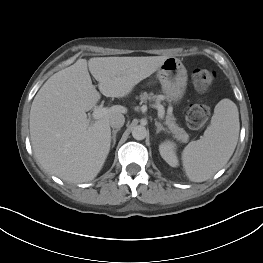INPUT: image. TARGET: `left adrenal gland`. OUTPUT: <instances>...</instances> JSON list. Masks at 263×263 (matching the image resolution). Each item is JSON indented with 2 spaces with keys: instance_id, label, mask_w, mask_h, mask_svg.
<instances>
[{
  "instance_id": "obj_1",
  "label": "left adrenal gland",
  "mask_w": 263,
  "mask_h": 263,
  "mask_svg": "<svg viewBox=\"0 0 263 263\" xmlns=\"http://www.w3.org/2000/svg\"><path fill=\"white\" fill-rule=\"evenodd\" d=\"M155 126L157 127L156 133H159L161 131L169 132L166 128L163 127V125L157 121H155Z\"/></svg>"
}]
</instances>
